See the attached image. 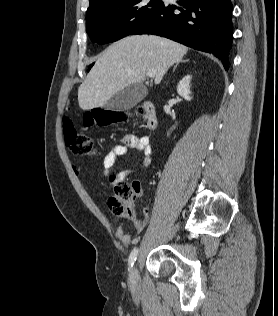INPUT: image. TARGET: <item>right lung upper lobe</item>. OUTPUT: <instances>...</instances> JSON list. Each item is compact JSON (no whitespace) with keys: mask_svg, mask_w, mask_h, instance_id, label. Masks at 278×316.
Wrapping results in <instances>:
<instances>
[{"mask_svg":"<svg viewBox=\"0 0 278 316\" xmlns=\"http://www.w3.org/2000/svg\"><path fill=\"white\" fill-rule=\"evenodd\" d=\"M107 1H109V0H90V6H89L88 10L93 8V7H95V6H97V5L103 4V3L107 2Z\"/></svg>","mask_w":278,"mask_h":316,"instance_id":"1","label":"right lung upper lobe"}]
</instances>
